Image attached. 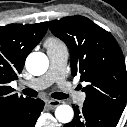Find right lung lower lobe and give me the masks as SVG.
<instances>
[{
  "instance_id": "1",
  "label": "right lung lower lobe",
  "mask_w": 127,
  "mask_h": 127,
  "mask_svg": "<svg viewBox=\"0 0 127 127\" xmlns=\"http://www.w3.org/2000/svg\"><path fill=\"white\" fill-rule=\"evenodd\" d=\"M43 107L44 102L42 100L31 98L26 107L16 118L1 127H34Z\"/></svg>"
}]
</instances>
